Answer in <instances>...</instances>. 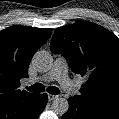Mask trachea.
Listing matches in <instances>:
<instances>
[{
	"mask_svg": "<svg viewBox=\"0 0 119 119\" xmlns=\"http://www.w3.org/2000/svg\"><path fill=\"white\" fill-rule=\"evenodd\" d=\"M26 89L30 92H43L45 90V87L41 83H36L30 87H26ZM47 92L57 95L60 93V90L57 87L51 86L47 88Z\"/></svg>",
	"mask_w": 119,
	"mask_h": 119,
	"instance_id": "3493384b",
	"label": "trachea"
}]
</instances>
